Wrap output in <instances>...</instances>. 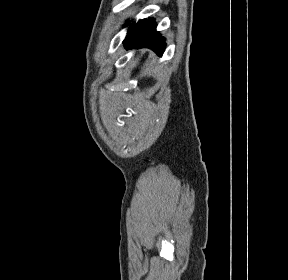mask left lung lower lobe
Wrapping results in <instances>:
<instances>
[{
	"instance_id": "obj_1",
	"label": "left lung lower lobe",
	"mask_w": 288,
	"mask_h": 280,
	"mask_svg": "<svg viewBox=\"0 0 288 280\" xmlns=\"http://www.w3.org/2000/svg\"><path fill=\"white\" fill-rule=\"evenodd\" d=\"M127 49L149 48L162 56L166 43L165 38L156 32V23L150 19L133 22L128 28L127 35L123 41Z\"/></svg>"
}]
</instances>
